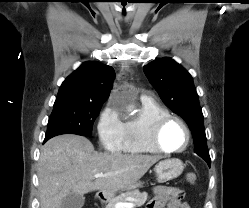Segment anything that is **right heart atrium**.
<instances>
[{
	"label": "right heart atrium",
	"mask_w": 249,
	"mask_h": 208,
	"mask_svg": "<svg viewBox=\"0 0 249 208\" xmlns=\"http://www.w3.org/2000/svg\"><path fill=\"white\" fill-rule=\"evenodd\" d=\"M97 131L101 145L110 152H120L123 144L124 122L119 109L114 104H109L101 112Z\"/></svg>",
	"instance_id": "right-heart-atrium-1"
}]
</instances>
